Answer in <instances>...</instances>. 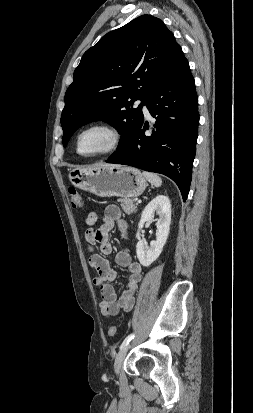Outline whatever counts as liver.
<instances>
[{"label":"liver","instance_id":"liver-1","mask_svg":"<svg viewBox=\"0 0 253 413\" xmlns=\"http://www.w3.org/2000/svg\"><path fill=\"white\" fill-rule=\"evenodd\" d=\"M110 166H117V165H114V164H100L96 167H110Z\"/></svg>","mask_w":253,"mask_h":413}]
</instances>
